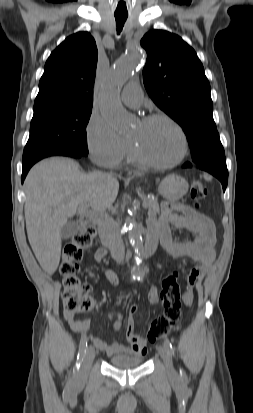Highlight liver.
I'll use <instances>...</instances> for the list:
<instances>
[{
    "label": "liver",
    "mask_w": 253,
    "mask_h": 413,
    "mask_svg": "<svg viewBox=\"0 0 253 413\" xmlns=\"http://www.w3.org/2000/svg\"><path fill=\"white\" fill-rule=\"evenodd\" d=\"M24 186L28 240L40 266L49 275L54 274L60 262V233L67 220L86 203L103 214L119 191L116 178L101 172L83 173L76 161L60 157L33 166Z\"/></svg>",
    "instance_id": "1"
}]
</instances>
